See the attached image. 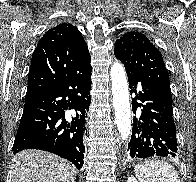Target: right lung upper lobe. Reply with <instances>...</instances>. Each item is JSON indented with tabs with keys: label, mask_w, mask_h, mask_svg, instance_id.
<instances>
[{
	"label": "right lung upper lobe",
	"mask_w": 196,
	"mask_h": 182,
	"mask_svg": "<svg viewBox=\"0 0 196 182\" xmlns=\"http://www.w3.org/2000/svg\"><path fill=\"white\" fill-rule=\"evenodd\" d=\"M89 60L87 44L75 26L62 23L49 29L32 55L25 106Z\"/></svg>",
	"instance_id": "obj_1"
}]
</instances>
